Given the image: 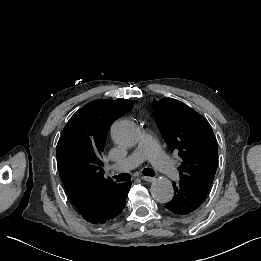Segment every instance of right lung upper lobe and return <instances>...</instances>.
<instances>
[{"label": "right lung upper lobe", "mask_w": 261, "mask_h": 261, "mask_svg": "<svg viewBox=\"0 0 261 261\" xmlns=\"http://www.w3.org/2000/svg\"><path fill=\"white\" fill-rule=\"evenodd\" d=\"M133 106L129 100H95L78 110L63 129L57 161L65 190L78 211L96 193L116 184L104 178L102 152L111 123Z\"/></svg>", "instance_id": "right-lung-upper-lobe-1"}]
</instances>
